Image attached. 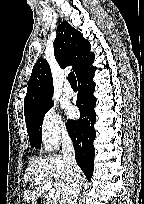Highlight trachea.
I'll list each match as a JSON object with an SVG mask.
<instances>
[{
    "mask_svg": "<svg viewBox=\"0 0 144 204\" xmlns=\"http://www.w3.org/2000/svg\"><path fill=\"white\" fill-rule=\"evenodd\" d=\"M68 81H69L72 88L77 87L76 76H75V74L73 72H70L68 74Z\"/></svg>",
    "mask_w": 144,
    "mask_h": 204,
    "instance_id": "1",
    "label": "trachea"
}]
</instances>
